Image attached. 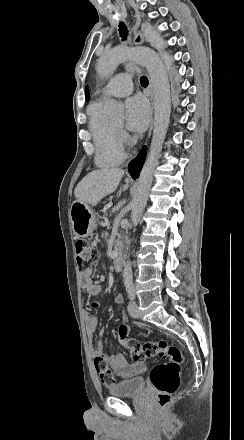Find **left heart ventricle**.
<instances>
[{"label":"left heart ventricle","instance_id":"left-heart-ventricle-1","mask_svg":"<svg viewBox=\"0 0 244 440\" xmlns=\"http://www.w3.org/2000/svg\"><path fill=\"white\" fill-rule=\"evenodd\" d=\"M111 126H113V127H115V128H118V127H120L121 126V122H112V123H109Z\"/></svg>","mask_w":244,"mask_h":440}]
</instances>
